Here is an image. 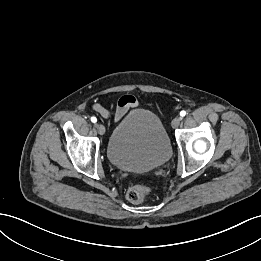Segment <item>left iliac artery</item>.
<instances>
[{"label":"left iliac artery","mask_w":261,"mask_h":261,"mask_svg":"<svg viewBox=\"0 0 261 261\" xmlns=\"http://www.w3.org/2000/svg\"><path fill=\"white\" fill-rule=\"evenodd\" d=\"M185 115H186V111L182 110V111L180 112V116H181V117H184Z\"/></svg>","instance_id":"left-iliac-artery-1"}]
</instances>
